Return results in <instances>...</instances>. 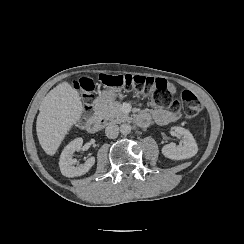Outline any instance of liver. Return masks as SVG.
I'll return each instance as SVG.
<instances>
[{
	"label": "liver",
	"instance_id": "obj_1",
	"mask_svg": "<svg viewBox=\"0 0 244 244\" xmlns=\"http://www.w3.org/2000/svg\"><path fill=\"white\" fill-rule=\"evenodd\" d=\"M83 105L77 90L62 82L49 91L39 107L36 131L42 149L54 155L71 126L80 119Z\"/></svg>",
	"mask_w": 244,
	"mask_h": 244
}]
</instances>
